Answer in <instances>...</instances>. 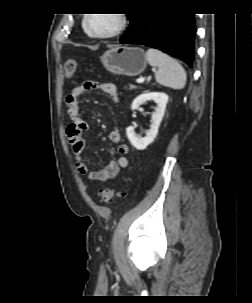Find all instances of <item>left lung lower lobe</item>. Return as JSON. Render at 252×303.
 <instances>
[{
	"instance_id": "left-lung-lower-lobe-1",
	"label": "left lung lower lobe",
	"mask_w": 252,
	"mask_h": 303,
	"mask_svg": "<svg viewBox=\"0 0 252 303\" xmlns=\"http://www.w3.org/2000/svg\"><path fill=\"white\" fill-rule=\"evenodd\" d=\"M195 18L193 13H152L145 11L124 39V44H142L159 49L192 67L194 59Z\"/></svg>"
}]
</instances>
